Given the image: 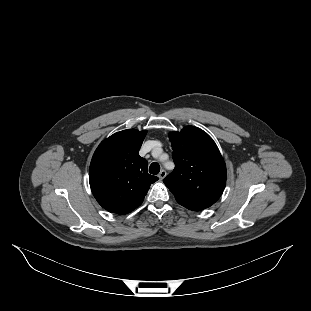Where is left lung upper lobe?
<instances>
[{"label":"left lung upper lobe","instance_id":"5c2ea615","mask_svg":"<svg viewBox=\"0 0 311 311\" xmlns=\"http://www.w3.org/2000/svg\"><path fill=\"white\" fill-rule=\"evenodd\" d=\"M175 169L165 185L182 206L199 211L214 204L226 185V166L212 138L200 128L187 126L169 133Z\"/></svg>","mask_w":311,"mask_h":311}]
</instances>
